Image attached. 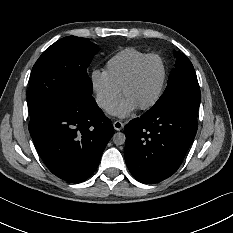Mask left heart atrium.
I'll return each mask as SVG.
<instances>
[{
    "label": "left heart atrium",
    "mask_w": 233,
    "mask_h": 233,
    "mask_svg": "<svg viewBox=\"0 0 233 233\" xmlns=\"http://www.w3.org/2000/svg\"><path fill=\"white\" fill-rule=\"evenodd\" d=\"M138 108V105L132 99L125 97L117 107L109 111V114L120 119H125Z\"/></svg>",
    "instance_id": "1"
}]
</instances>
